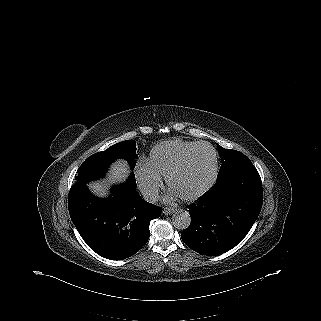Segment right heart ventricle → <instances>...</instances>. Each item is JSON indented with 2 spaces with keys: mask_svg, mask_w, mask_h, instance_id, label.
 <instances>
[{
  "mask_svg": "<svg viewBox=\"0 0 321 321\" xmlns=\"http://www.w3.org/2000/svg\"><path fill=\"white\" fill-rule=\"evenodd\" d=\"M198 142L167 140L156 144L150 151L147 161L151 169L160 177L167 172Z\"/></svg>",
  "mask_w": 321,
  "mask_h": 321,
  "instance_id": "e07e8e85",
  "label": "right heart ventricle"
}]
</instances>
